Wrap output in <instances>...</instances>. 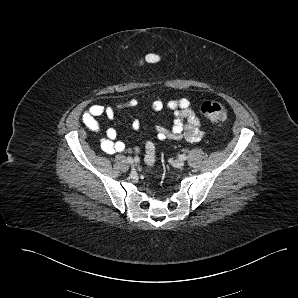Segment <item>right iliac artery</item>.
Segmentation results:
<instances>
[{
    "instance_id": "82829eb1",
    "label": "right iliac artery",
    "mask_w": 298,
    "mask_h": 298,
    "mask_svg": "<svg viewBox=\"0 0 298 298\" xmlns=\"http://www.w3.org/2000/svg\"><path fill=\"white\" fill-rule=\"evenodd\" d=\"M134 161L135 162H138L139 161V157L138 156L134 157Z\"/></svg>"
}]
</instances>
